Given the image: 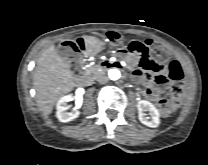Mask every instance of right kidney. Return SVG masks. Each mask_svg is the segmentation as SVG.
Segmentation results:
<instances>
[{
	"label": "right kidney",
	"instance_id": "obj_1",
	"mask_svg": "<svg viewBox=\"0 0 208 165\" xmlns=\"http://www.w3.org/2000/svg\"><path fill=\"white\" fill-rule=\"evenodd\" d=\"M83 94H84L83 88H78L76 90V95H75L76 109L73 111H67L69 108L68 102L74 100V96L72 94L65 95L59 99L56 105V109H57L56 116L60 122H69L76 119L79 116L80 112L77 109L80 108L82 105Z\"/></svg>",
	"mask_w": 208,
	"mask_h": 165
}]
</instances>
